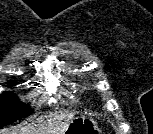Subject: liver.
I'll return each instance as SVG.
<instances>
[{
  "mask_svg": "<svg viewBox=\"0 0 153 134\" xmlns=\"http://www.w3.org/2000/svg\"><path fill=\"white\" fill-rule=\"evenodd\" d=\"M73 118L72 113H61L56 115L55 119L59 121L55 125L49 124L47 127L41 124L42 119L37 122V124H31L28 126L15 128L13 130H1L0 134H63L68 127L70 120Z\"/></svg>",
  "mask_w": 153,
  "mask_h": 134,
  "instance_id": "6515ba94",
  "label": "liver"
}]
</instances>
